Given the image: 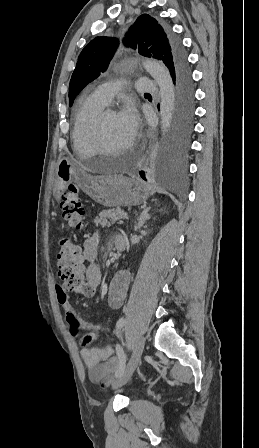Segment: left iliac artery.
Returning a JSON list of instances; mask_svg holds the SVG:
<instances>
[{
	"instance_id": "44dca946",
	"label": "left iliac artery",
	"mask_w": 259,
	"mask_h": 448,
	"mask_svg": "<svg viewBox=\"0 0 259 448\" xmlns=\"http://www.w3.org/2000/svg\"><path fill=\"white\" fill-rule=\"evenodd\" d=\"M125 324H126V320L124 318H120L117 321L116 327H117V329H121ZM116 352H117L119 359L121 361H125V354H124L123 348L118 343L116 344ZM123 372H124L123 369L118 370L115 374L116 377H120L123 374Z\"/></svg>"
}]
</instances>
